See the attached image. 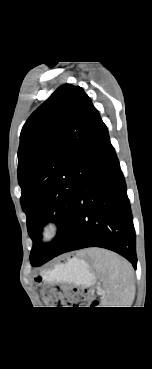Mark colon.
Instances as JSON below:
<instances>
[{"label":"colon","instance_id":"5ec220e1","mask_svg":"<svg viewBox=\"0 0 152 369\" xmlns=\"http://www.w3.org/2000/svg\"><path fill=\"white\" fill-rule=\"evenodd\" d=\"M44 300L53 307H85L90 303V295L78 287L56 286L44 292Z\"/></svg>","mask_w":152,"mask_h":369}]
</instances>
